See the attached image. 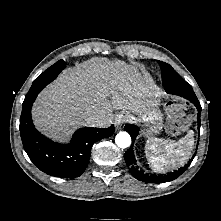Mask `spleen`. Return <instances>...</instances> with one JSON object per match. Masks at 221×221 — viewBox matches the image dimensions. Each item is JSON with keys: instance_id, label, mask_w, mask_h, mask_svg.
Here are the masks:
<instances>
[{"instance_id": "obj_1", "label": "spleen", "mask_w": 221, "mask_h": 221, "mask_svg": "<svg viewBox=\"0 0 221 221\" xmlns=\"http://www.w3.org/2000/svg\"><path fill=\"white\" fill-rule=\"evenodd\" d=\"M193 132L190 131L179 141L149 138L145 145V154L150 167L157 172L172 170L184 165L191 156L194 145Z\"/></svg>"}]
</instances>
